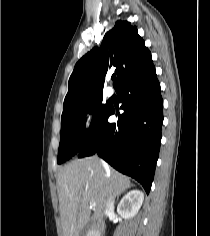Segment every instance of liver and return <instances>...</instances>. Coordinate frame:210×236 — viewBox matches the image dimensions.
Listing matches in <instances>:
<instances>
[{"label": "liver", "mask_w": 210, "mask_h": 236, "mask_svg": "<svg viewBox=\"0 0 210 236\" xmlns=\"http://www.w3.org/2000/svg\"><path fill=\"white\" fill-rule=\"evenodd\" d=\"M131 186L118 171L102 165L96 156L76 159L58 174L57 187L63 236H78L90 222L102 223L106 203ZM90 203H95L91 213Z\"/></svg>", "instance_id": "1"}]
</instances>
